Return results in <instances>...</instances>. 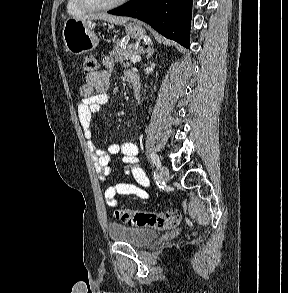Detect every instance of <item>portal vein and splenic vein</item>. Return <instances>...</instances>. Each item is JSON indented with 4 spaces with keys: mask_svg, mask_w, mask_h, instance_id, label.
Wrapping results in <instances>:
<instances>
[{
    "mask_svg": "<svg viewBox=\"0 0 288 293\" xmlns=\"http://www.w3.org/2000/svg\"><path fill=\"white\" fill-rule=\"evenodd\" d=\"M131 62L132 63H137V62H140L141 61V57L139 55H134L131 57Z\"/></svg>",
    "mask_w": 288,
    "mask_h": 293,
    "instance_id": "1",
    "label": "portal vein and splenic vein"
}]
</instances>
